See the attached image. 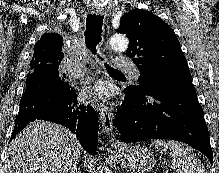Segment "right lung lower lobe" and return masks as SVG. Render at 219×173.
Listing matches in <instances>:
<instances>
[{
	"instance_id": "obj_1",
	"label": "right lung lower lobe",
	"mask_w": 219,
	"mask_h": 173,
	"mask_svg": "<svg viewBox=\"0 0 219 173\" xmlns=\"http://www.w3.org/2000/svg\"><path fill=\"white\" fill-rule=\"evenodd\" d=\"M36 119L65 126L76 134L87 152L96 154L99 128L96 111L90 105H80L75 90L51 74L27 78L11 140Z\"/></svg>"
}]
</instances>
